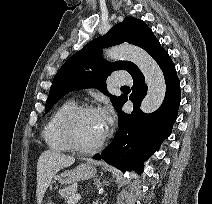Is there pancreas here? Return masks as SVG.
I'll use <instances>...</instances> for the list:
<instances>
[{
    "label": "pancreas",
    "mask_w": 212,
    "mask_h": 204,
    "mask_svg": "<svg viewBox=\"0 0 212 204\" xmlns=\"http://www.w3.org/2000/svg\"><path fill=\"white\" fill-rule=\"evenodd\" d=\"M77 184L70 185L64 189L59 190V195L68 201L73 195L77 193Z\"/></svg>",
    "instance_id": "cf45deb5"
}]
</instances>
